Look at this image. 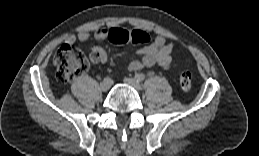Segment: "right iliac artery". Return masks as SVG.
Here are the masks:
<instances>
[{
	"label": "right iliac artery",
	"mask_w": 259,
	"mask_h": 156,
	"mask_svg": "<svg viewBox=\"0 0 259 156\" xmlns=\"http://www.w3.org/2000/svg\"><path fill=\"white\" fill-rule=\"evenodd\" d=\"M106 81H110L111 79L109 77L104 78Z\"/></svg>",
	"instance_id": "right-iliac-artery-1"
}]
</instances>
